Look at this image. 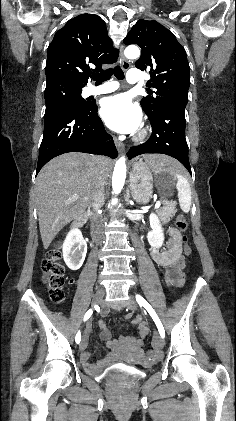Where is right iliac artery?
Returning <instances> with one entry per match:
<instances>
[{
  "label": "right iliac artery",
  "instance_id": "82829eb1",
  "mask_svg": "<svg viewBox=\"0 0 236 421\" xmlns=\"http://www.w3.org/2000/svg\"><path fill=\"white\" fill-rule=\"evenodd\" d=\"M92 313H93L92 309H89L85 313V315H84V321H86L87 319H89L90 316L92 315ZM75 341H76L77 344L80 343V341H81V333H80V331H78V333L76 334Z\"/></svg>",
  "mask_w": 236,
  "mask_h": 421
}]
</instances>
